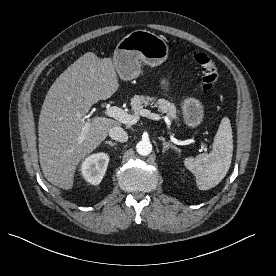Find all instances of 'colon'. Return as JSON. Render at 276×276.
I'll return each mask as SVG.
<instances>
[{
	"label": "colon",
	"mask_w": 276,
	"mask_h": 276,
	"mask_svg": "<svg viewBox=\"0 0 276 276\" xmlns=\"http://www.w3.org/2000/svg\"><path fill=\"white\" fill-rule=\"evenodd\" d=\"M193 57L201 68L203 89L205 91H213L219 81V72L216 64L201 51H195Z\"/></svg>",
	"instance_id": "colon-1"
}]
</instances>
